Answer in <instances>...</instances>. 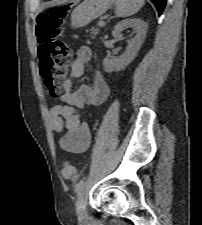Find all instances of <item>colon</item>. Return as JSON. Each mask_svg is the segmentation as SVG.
<instances>
[{
	"mask_svg": "<svg viewBox=\"0 0 202 225\" xmlns=\"http://www.w3.org/2000/svg\"><path fill=\"white\" fill-rule=\"evenodd\" d=\"M64 7L49 8L36 17L35 36L40 52V76L54 98L58 96L63 81L72 63L68 46L58 38ZM64 178L76 180V169L71 162L61 167Z\"/></svg>",
	"mask_w": 202,
	"mask_h": 225,
	"instance_id": "5ec220e1",
	"label": "colon"
}]
</instances>
